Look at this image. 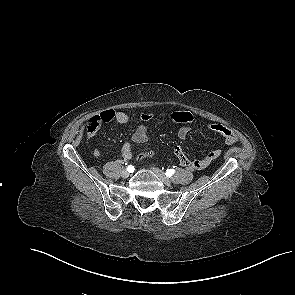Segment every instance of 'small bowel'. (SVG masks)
Listing matches in <instances>:
<instances>
[{
	"instance_id": "1",
	"label": "small bowel",
	"mask_w": 295,
	"mask_h": 295,
	"mask_svg": "<svg viewBox=\"0 0 295 295\" xmlns=\"http://www.w3.org/2000/svg\"><path fill=\"white\" fill-rule=\"evenodd\" d=\"M166 114L172 122L182 124L178 131V137L180 139H185L192 131V126L195 122L194 116L188 111L178 110L169 111ZM133 116L138 117L143 123L140 124L134 131L132 141L139 144L145 143L148 140L147 123L154 120V114L144 112L131 113L125 110H105L97 115L96 118L98 119L100 126L111 121H116L121 124L127 123ZM208 128L211 131L220 134L224 138L225 143L228 145H232L237 142L236 134L230 128L222 124L212 123L208 125ZM174 153L178 158L180 165L189 170H203L221 155L220 150H214L201 159H190L179 146L174 148ZM94 156L100 157L101 152L99 150H95ZM131 157L132 145L129 141H127L121 148V158L124 162H127L131 159Z\"/></svg>"
}]
</instances>
